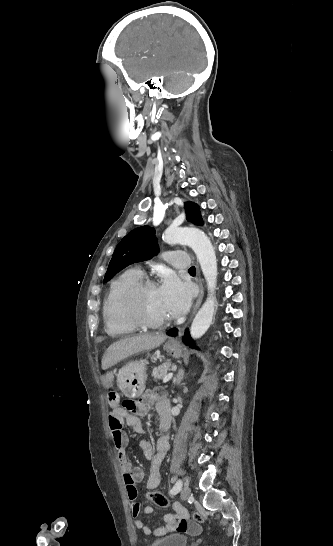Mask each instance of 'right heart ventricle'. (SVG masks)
Wrapping results in <instances>:
<instances>
[{
	"label": "right heart ventricle",
	"mask_w": 333,
	"mask_h": 546,
	"mask_svg": "<svg viewBox=\"0 0 333 546\" xmlns=\"http://www.w3.org/2000/svg\"><path fill=\"white\" fill-rule=\"evenodd\" d=\"M142 279L137 269H129L117 276L108 288L103 300V321L106 332L111 336H125L135 332L138 328L126 315L122 298L125 291L134 283Z\"/></svg>",
	"instance_id": "right-heart-ventricle-1"
}]
</instances>
